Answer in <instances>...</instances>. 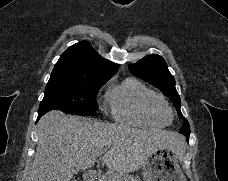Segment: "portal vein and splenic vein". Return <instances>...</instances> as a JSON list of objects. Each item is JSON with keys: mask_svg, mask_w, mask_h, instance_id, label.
<instances>
[{"mask_svg": "<svg viewBox=\"0 0 228 181\" xmlns=\"http://www.w3.org/2000/svg\"><path fill=\"white\" fill-rule=\"evenodd\" d=\"M107 149H102V151H99V153H97V157H100V155H103V153H106Z\"/></svg>", "mask_w": 228, "mask_h": 181, "instance_id": "obj_1", "label": "portal vein and splenic vein"}]
</instances>
